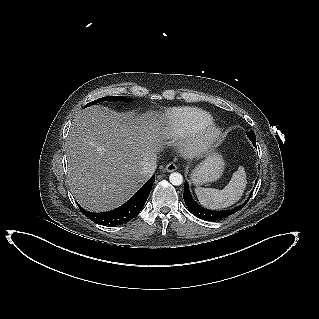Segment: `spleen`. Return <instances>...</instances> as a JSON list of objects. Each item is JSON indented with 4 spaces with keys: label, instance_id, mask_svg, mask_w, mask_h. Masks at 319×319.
Returning <instances> with one entry per match:
<instances>
[{
    "label": "spleen",
    "instance_id": "3e777b00",
    "mask_svg": "<svg viewBox=\"0 0 319 319\" xmlns=\"http://www.w3.org/2000/svg\"><path fill=\"white\" fill-rule=\"evenodd\" d=\"M246 186V171L243 166H240L222 190L197 187L195 193L203 206L210 209H221L229 207L239 201Z\"/></svg>",
    "mask_w": 319,
    "mask_h": 319
}]
</instances>
